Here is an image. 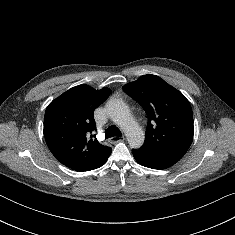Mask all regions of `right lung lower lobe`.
<instances>
[{
	"label": "right lung lower lobe",
	"instance_id": "1",
	"mask_svg": "<svg viewBox=\"0 0 235 235\" xmlns=\"http://www.w3.org/2000/svg\"><path fill=\"white\" fill-rule=\"evenodd\" d=\"M110 154H111V153H110ZM110 154L107 155L94 169L99 168V167H101L102 165H104L105 162L107 161L108 157L110 156Z\"/></svg>",
	"mask_w": 235,
	"mask_h": 235
}]
</instances>
